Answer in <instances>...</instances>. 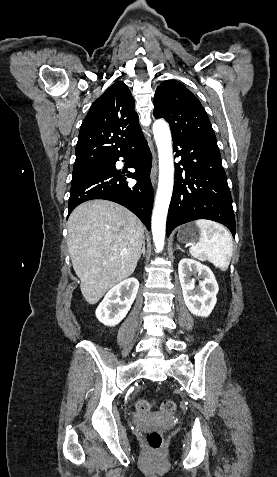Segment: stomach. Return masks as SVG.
Masks as SVG:
<instances>
[{"label":"stomach","mask_w":277,"mask_h":477,"mask_svg":"<svg viewBox=\"0 0 277 477\" xmlns=\"http://www.w3.org/2000/svg\"><path fill=\"white\" fill-rule=\"evenodd\" d=\"M199 235V228L195 224L190 223L178 229L177 239L184 244H193L197 241Z\"/></svg>","instance_id":"stomach-1"}]
</instances>
